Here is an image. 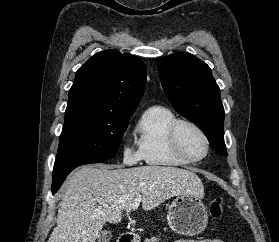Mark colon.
<instances>
[{
    "label": "colon",
    "instance_id": "obj_1",
    "mask_svg": "<svg viewBox=\"0 0 279 242\" xmlns=\"http://www.w3.org/2000/svg\"><path fill=\"white\" fill-rule=\"evenodd\" d=\"M223 203L220 197L214 198L209 204V214L211 218L218 220L223 215Z\"/></svg>",
    "mask_w": 279,
    "mask_h": 242
}]
</instances>
